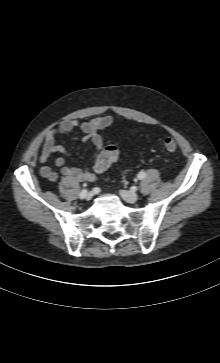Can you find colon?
Listing matches in <instances>:
<instances>
[{
    "label": "colon",
    "mask_w": 220,
    "mask_h": 363,
    "mask_svg": "<svg viewBox=\"0 0 220 363\" xmlns=\"http://www.w3.org/2000/svg\"><path fill=\"white\" fill-rule=\"evenodd\" d=\"M164 147L169 152H174L177 149V143L173 138H166L164 140ZM119 158L118 148L115 146L105 147L103 151V167L115 163Z\"/></svg>",
    "instance_id": "obj_1"
}]
</instances>
